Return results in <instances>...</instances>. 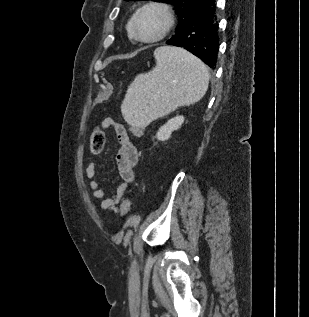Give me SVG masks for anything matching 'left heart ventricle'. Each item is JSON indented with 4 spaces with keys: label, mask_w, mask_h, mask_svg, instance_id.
Instances as JSON below:
<instances>
[{
    "label": "left heart ventricle",
    "mask_w": 309,
    "mask_h": 317,
    "mask_svg": "<svg viewBox=\"0 0 309 317\" xmlns=\"http://www.w3.org/2000/svg\"><path fill=\"white\" fill-rule=\"evenodd\" d=\"M164 24L163 16L154 10L146 11L138 21V31L142 37L150 38L157 35Z\"/></svg>",
    "instance_id": "b2bd125f"
}]
</instances>
